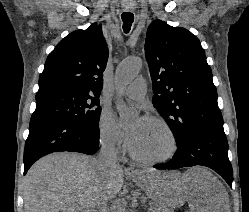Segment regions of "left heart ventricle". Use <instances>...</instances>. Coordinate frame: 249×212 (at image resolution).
I'll return each instance as SVG.
<instances>
[{
	"label": "left heart ventricle",
	"instance_id": "left-heart-ventricle-1",
	"mask_svg": "<svg viewBox=\"0 0 249 212\" xmlns=\"http://www.w3.org/2000/svg\"><path fill=\"white\" fill-rule=\"evenodd\" d=\"M138 126V141L132 151L143 158H160L169 154L172 141L165 129L155 123L145 120L133 121Z\"/></svg>",
	"mask_w": 249,
	"mask_h": 212
}]
</instances>
